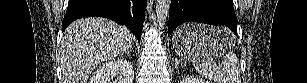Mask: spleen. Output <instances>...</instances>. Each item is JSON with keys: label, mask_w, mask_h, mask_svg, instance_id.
Listing matches in <instances>:
<instances>
[{"label": "spleen", "mask_w": 307, "mask_h": 83, "mask_svg": "<svg viewBox=\"0 0 307 83\" xmlns=\"http://www.w3.org/2000/svg\"><path fill=\"white\" fill-rule=\"evenodd\" d=\"M196 71L214 83H241L239 60L232 51L223 57L221 65H217L213 59L199 61Z\"/></svg>", "instance_id": "obj_1"}]
</instances>
